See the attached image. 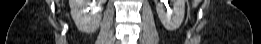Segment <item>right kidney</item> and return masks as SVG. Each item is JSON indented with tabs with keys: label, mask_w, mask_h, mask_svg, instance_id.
<instances>
[{
	"label": "right kidney",
	"mask_w": 261,
	"mask_h": 44,
	"mask_svg": "<svg viewBox=\"0 0 261 44\" xmlns=\"http://www.w3.org/2000/svg\"><path fill=\"white\" fill-rule=\"evenodd\" d=\"M72 18L77 28L85 33H91L101 24V16L98 14L100 3L95 0H69Z\"/></svg>",
	"instance_id": "right-kidney-1"
}]
</instances>
